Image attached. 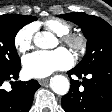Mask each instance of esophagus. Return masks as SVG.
Segmentation results:
<instances>
[{"label":"esophagus","instance_id":"34e87169","mask_svg":"<svg viewBox=\"0 0 112 112\" xmlns=\"http://www.w3.org/2000/svg\"><path fill=\"white\" fill-rule=\"evenodd\" d=\"M48 81H49V79H47V78L46 79H40V80H38L39 84L42 85V86L45 85V84H47Z\"/></svg>","mask_w":112,"mask_h":112}]
</instances>
